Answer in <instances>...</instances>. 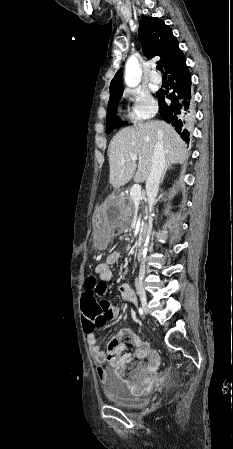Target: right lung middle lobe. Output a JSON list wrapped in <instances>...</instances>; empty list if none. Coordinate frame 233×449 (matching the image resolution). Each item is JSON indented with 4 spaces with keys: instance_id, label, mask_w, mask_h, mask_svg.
Segmentation results:
<instances>
[{
    "instance_id": "dd1d6c3e",
    "label": "right lung middle lobe",
    "mask_w": 233,
    "mask_h": 449,
    "mask_svg": "<svg viewBox=\"0 0 233 449\" xmlns=\"http://www.w3.org/2000/svg\"><path fill=\"white\" fill-rule=\"evenodd\" d=\"M122 96L121 94H117L113 97H110L108 110H107V122H106V133H110L115 128L120 127L125 124V122L121 121L120 118L116 115V109L118 107L119 100Z\"/></svg>"
}]
</instances>
